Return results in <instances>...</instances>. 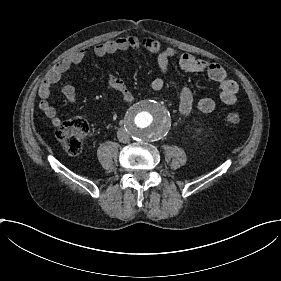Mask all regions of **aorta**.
<instances>
[{
	"label": "aorta",
	"mask_w": 281,
	"mask_h": 281,
	"mask_svg": "<svg viewBox=\"0 0 281 281\" xmlns=\"http://www.w3.org/2000/svg\"><path fill=\"white\" fill-rule=\"evenodd\" d=\"M126 128L138 141H156L170 129L171 117L166 107L155 100H142L127 112Z\"/></svg>",
	"instance_id": "obj_1"
}]
</instances>
